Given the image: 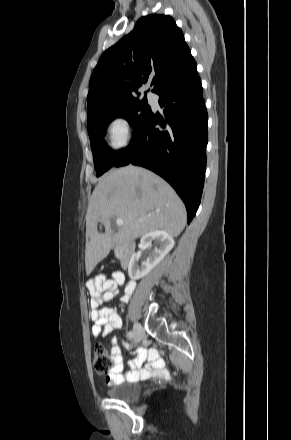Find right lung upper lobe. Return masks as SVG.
<instances>
[{
	"instance_id": "right-lung-upper-lobe-1",
	"label": "right lung upper lobe",
	"mask_w": 291,
	"mask_h": 440,
	"mask_svg": "<svg viewBox=\"0 0 291 440\" xmlns=\"http://www.w3.org/2000/svg\"><path fill=\"white\" fill-rule=\"evenodd\" d=\"M196 66L184 35L173 18L142 17L133 31L110 47L90 78L88 111L134 97L148 80L152 92Z\"/></svg>"
}]
</instances>
